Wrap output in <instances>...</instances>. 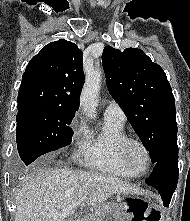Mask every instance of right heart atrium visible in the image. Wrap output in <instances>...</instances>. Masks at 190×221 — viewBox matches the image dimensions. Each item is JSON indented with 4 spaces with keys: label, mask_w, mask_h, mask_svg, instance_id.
I'll return each mask as SVG.
<instances>
[{
    "label": "right heart atrium",
    "mask_w": 190,
    "mask_h": 221,
    "mask_svg": "<svg viewBox=\"0 0 190 221\" xmlns=\"http://www.w3.org/2000/svg\"><path fill=\"white\" fill-rule=\"evenodd\" d=\"M89 129L80 116H76L72 122V154L78 161H85L89 153Z\"/></svg>",
    "instance_id": "d8ad5b80"
}]
</instances>
